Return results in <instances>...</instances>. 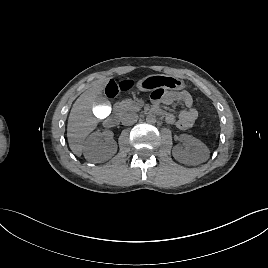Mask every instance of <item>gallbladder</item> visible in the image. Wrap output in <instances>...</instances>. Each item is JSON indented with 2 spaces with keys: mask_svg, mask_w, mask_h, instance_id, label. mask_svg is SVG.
Masks as SVG:
<instances>
[{
  "mask_svg": "<svg viewBox=\"0 0 268 268\" xmlns=\"http://www.w3.org/2000/svg\"><path fill=\"white\" fill-rule=\"evenodd\" d=\"M91 111L95 118L103 120L110 116L112 108L110 103L105 98H100L93 103Z\"/></svg>",
  "mask_w": 268,
  "mask_h": 268,
  "instance_id": "bac80fb5",
  "label": "gallbladder"
}]
</instances>
